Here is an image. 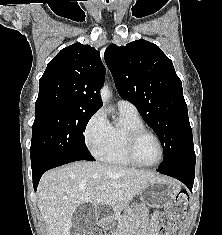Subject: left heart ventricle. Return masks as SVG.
Instances as JSON below:
<instances>
[{"mask_svg": "<svg viewBox=\"0 0 222 235\" xmlns=\"http://www.w3.org/2000/svg\"><path fill=\"white\" fill-rule=\"evenodd\" d=\"M137 158L146 164L156 162L160 156V149L156 140L151 136L143 137L137 145Z\"/></svg>", "mask_w": 222, "mask_h": 235, "instance_id": "1", "label": "left heart ventricle"}]
</instances>
